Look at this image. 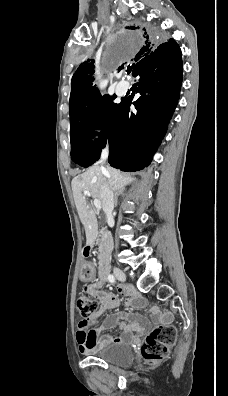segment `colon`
Listing matches in <instances>:
<instances>
[{"label": "colon", "mask_w": 228, "mask_h": 396, "mask_svg": "<svg viewBox=\"0 0 228 396\" xmlns=\"http://www.w3.org/2000/svg\"><path fill=\"white\" fill-rule=\"evenodd\" d=\"M77 307L81 316L79 326L86 328L91 317L99 308L98 303L80 294L77 298ZM176 340V330L173 326L162 325L154 328L143 340L141 345V355L144 361L150 365H156L169 356L170 349Z\"/></svg>", "instance_id": "colon-1"}]
</instances>
